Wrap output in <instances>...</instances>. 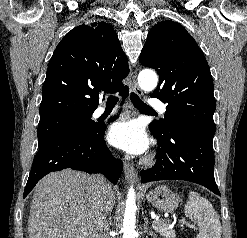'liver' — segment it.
Instances as JSON below:
<instances>
[{"label": "liver", "instance_id": "6515ba94", "mask_svg": "<svg viewBox=\"0 0 247 238\" xmlns=\"http://www.w3.org/2000/svg\"><path fill=\"white\" fill-rule=\"evenodd\" d=\"M93 176L65 169L41 179L28 217L29 238H92ZM115 193L109 185L104 213L111 212Z\"/></svg>", "mask_w": 247, "mask_h": 238}]
</instances>
